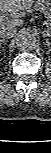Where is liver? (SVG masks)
I'll return each mask as SVG.
<instances>
[{"label": "liver", "instance_id": "liver-1", "mask_svg": "<svg viewBox=\"0 0 51 153\" xmlns=\"http://www.w3.org/2000/svg\"><path fill=\"white\" fill-rule=\"evenodd\" d=\"M34 0H0V11L8 13H18L20 11L26 10L27 12H32V4ZM2 24L5 25H15L21 26L23 21L21 19H10L1 20L0 27Z\"/></svg>", "mask_w": 51, "mask_h": 153}]
</instances>
